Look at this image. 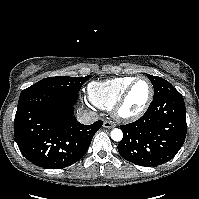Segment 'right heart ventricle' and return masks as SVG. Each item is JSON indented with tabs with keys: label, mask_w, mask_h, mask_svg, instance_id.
I'll return each mask as SVG.
<instances>
[{
	"label": "right heart ventricle",
	"mask_w": 199,
	"mask_h": 199,
	"mask_svg": "<svg viewBox=\"0 0 199 199\" xmlns=\"http://www.w3.org/2000/svg\"><path fill=\"white\" fill-rule=\"evenodd\" d=\"M133 77H118L101 82H92L88 85L90 101L101 109H111Z\"/></svg>",
	"instance_id": "right-heart-ventricle-1"
}]
</instances>
